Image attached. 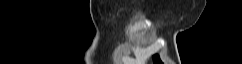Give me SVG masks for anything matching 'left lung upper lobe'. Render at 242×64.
Wrapping results in <instances>:
<instances>
[{"label":"left lung upper lobe","mask_w":242,"mask_h":64,"mask_svg":"<svg viewBox=\"0 0 242 64\" xmlns=\"http://www.w3.org/2000/svg\"><path fill=\"white\" fill-rule=\"evenodd\" d=\"M154 64H162L158 55L153 56Z\"/></svg>","instance_id":"5c2ea615"}]
</instances>
